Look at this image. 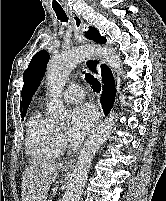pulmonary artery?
Listing matches in <instances>:
<instances>
[{
    "label": "pulmonary artery",
    "instance_id": "1",
    "mask_svg": "<svg viewBox=\"0 0 166 201\" xmlns=\"http://www.w3.org/2000/svg\"><path fill=\"white\" fill-rule=\"evenodd\" d=\"M84 96V90L79 84L69 85L63 92V98L66 102H80Z\"/></svg>",
    "mask_w": 166,
    "mask_h": 201
}]
</instances>
